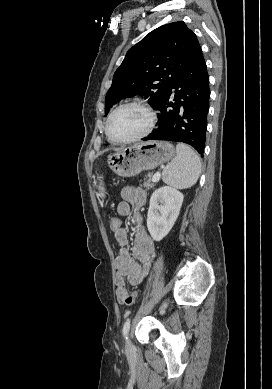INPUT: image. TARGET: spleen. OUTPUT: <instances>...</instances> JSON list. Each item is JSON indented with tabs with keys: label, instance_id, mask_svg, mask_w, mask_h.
I'll list each match as a JSON object with an SVG mask.
<instances>
[{
	"label": "spleen",
	"instance_id": "1",
	"mask_svg": "<svg viewBox=\"0 0 272 389\" xmlns=\"http://www.w3.org/2000/svg\"><path fill=\"white\" fill-rule=\"evenodd\" d=\"M176 157L165 167L162 173L164 183L179 189L192 187L201 173V160L188 145L178 143Z\"/></svg>",
	"mask_w": 272,
	"mask_h": 389
}]
</instances>
